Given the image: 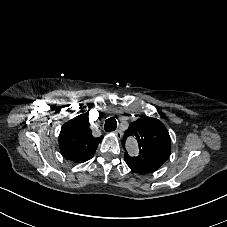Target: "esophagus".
Returning a JSON list of instances; mask_svg holds the SVG:
<instances>
[{"instance_id":"obj_1","label":"esophagus","mask_w":227,"mask_h":227,"mask_svg":"<svg viewBox=\"0 0 227 227\" xmlns=\"http://www.w3.org/2000/svg\"><path fill=\"white\" fill-rule=\"evenodd\" d=\"M114 133L119 140L122 138V133L120 130H115Z\"/></svg>"}]
</instances>
